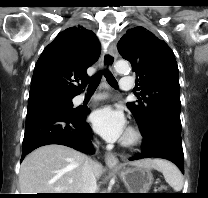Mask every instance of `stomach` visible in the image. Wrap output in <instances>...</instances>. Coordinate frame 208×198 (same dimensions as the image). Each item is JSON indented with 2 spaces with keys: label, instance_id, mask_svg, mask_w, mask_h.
Listing matches in <instances>:
<instances>
[{
  "label": "stomach",
  "instance_id": "0dacf381",
  "mask_svg": "<svg viewBox=\"0 0 208 198\" xmlns=\"http://www.w3.org/2000/svg\"><path fill=\"white\" fill-rule=\"evenodd\" d=\"M118 171L124 185L130 193H148L152 183L153 175L149 169L144 167H128L116 169Z\"/></svg>",
  "mask_w": 208,
  "mask_h": 198
}]
</instances>
